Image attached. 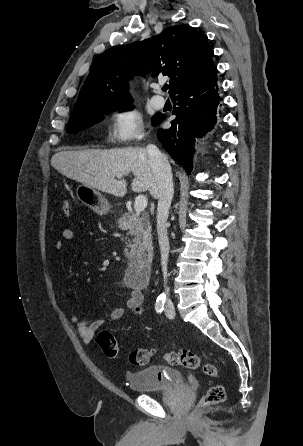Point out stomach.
Instances as JSON below:
<instances>
[{
	"label": "stomach",
	"instance_id": "1",
	"mask_svg": "<svg viewBox=\"0 0 303 446\" xmlns=\"http://www.w3.org/2000/svg\"><path fill=\"white\" fill-rule=\"evenodd\" d=\"M76 196L79 201L99 215L107 214L111 208L108 200L99 191L84 184L77 187Z\"/></svg>",
	"mask_w": 303,
	"mask_h": 446
}]
</instances>
